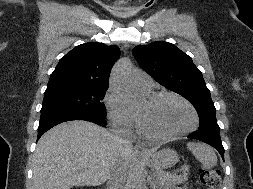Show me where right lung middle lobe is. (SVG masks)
I'll return each mask as SVG.
<instances>
[{"instance_id": "right-lung-middle-lobe-1", "label": "right lung middle lobe", "mask_w": 253, "mask_h": 189, "mask_svg": "<svg viewBox=\"0 0 253 189\" xmlns=\"http://www.w3.org/2000/svg\"><path fill=\"white\" fill-rule=\"evenodd\" d=\"M108 87L61 86L46 89L41 112L70 111L105 117L102 102Z\"/></svg>"}]
</instances>
